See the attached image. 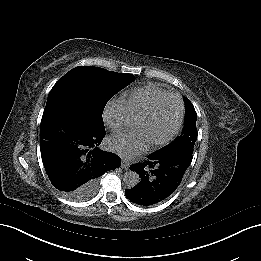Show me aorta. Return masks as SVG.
<instances>
[{"mask_svg":"<svg viewBox=\"0 0 261 261\" xmlns=\"http://www.w3.org/2000/svg\"><path fill=\"white\" fill-rule=\"evenodd\" d=\"M123 181L128 188L135 187L139 183V175L134 171H126Z\"/></svg>","mask_w":261,"mask_h":261,"instance_id":"obj_1","label":"aorta"}]
</instances>
